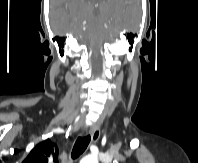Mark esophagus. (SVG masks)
I'll list each match as a JSON object with an SVG mask.
<instances>
[{"instance_id":"esophagus-1","label":"esophagus","mask_w":198,"mask_h":163,"mask_svg":"<svg viewBox=\"0 0 198 163\" xmlns=\"http://www.w3.org/2000/svg\"><path fill=\"white\" fill-rule=\"evenodd\" d=\"M91 141L96 143L100 138V126L98 123H95L90 129Z\"/></svg>"}]
</instances>
